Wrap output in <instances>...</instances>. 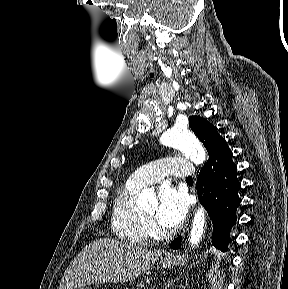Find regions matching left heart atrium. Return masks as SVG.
<instances>
[{"label": "left heart atrium", "instance_id": "left-heart-atrium-1", "mask_svg": "<svg viewBox=\"0 0 288 289\" xmlns=\"http://www.w3.org/2000/svg\"><path fill=\"white\" fill-rule=\"evenodd\" d=\"M187 201L184 194L171 186H163L159 191L157 222L166 228H175L184 220Z\"/></svg>", "mask_w": 288, "mask_h": 289}]
</instances>
